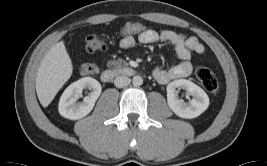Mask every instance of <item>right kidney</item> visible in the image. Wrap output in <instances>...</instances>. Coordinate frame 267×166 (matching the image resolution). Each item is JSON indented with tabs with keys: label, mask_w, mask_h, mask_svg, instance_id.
Wrapping results in <instances>:
<instances>
[{
	"label": "right kidney",
	"mask_w": 267,
	"mask_h": 166,
	"mask_svg": "<svg viewBox=\"0 0 267 166\" xmlns=\"http://www.w3.org/2000/svg\"><path fill=\"white\" fill-rule=\"evenodd\" d=\"M85 88L92 90L91 93L84 97L82 102H77ZM101 90L100 83L92 77H84L73 82L65 89L60 98L58 106L60 115L71 120L85 117L93 109Z\"/></svg>",
	"instance_id": "1"
}]
</instances>
